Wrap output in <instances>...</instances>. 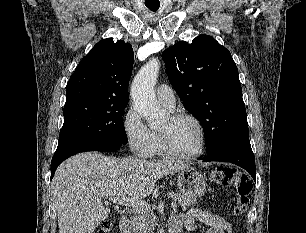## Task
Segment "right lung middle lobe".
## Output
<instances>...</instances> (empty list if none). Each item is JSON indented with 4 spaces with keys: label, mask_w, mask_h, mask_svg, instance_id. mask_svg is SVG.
I'll list each match as a JSON object with an SVG mask.
<instances>
[{
    "label": "right lung middle lobe",
    "mask_w": 306,
    "mask_h": 233,
    "mask_svg": "<svg viewBox=\"0 0 306 233\" xmlns=\"http://www.w3.org/2000/svg\"><path fill=\"white\" fill-rule=\"evenodd\" d=\"M128 102L79 99L65 103L55 154L86 143L126 144L123 114Z\"/></svg>",
    "instance_id": "dd1d6c3e"
}]
</instances>
